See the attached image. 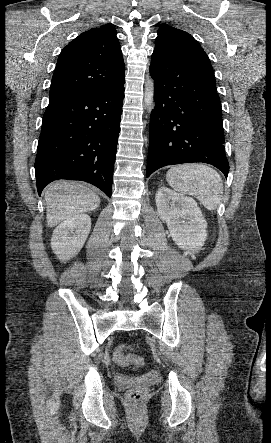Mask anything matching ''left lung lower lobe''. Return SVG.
<instances>
[{
	"label": "left lung lower lobe",
	"instance_id": "0a47b994",
	"mask_svg": "<svg viewBox=\"0 0 271 443\" xmlns=\"http://www.w3.org/2000/svg\"><path fill=\"white\" fill-rule=\"evenodd\" d=\"M155 81L146 177L174 164L203 162L227 177L221 103L210 63L154 51Z\"/></svg>",
	"mask_w": 271,
	"mask_h": 443
}]
</instances>
